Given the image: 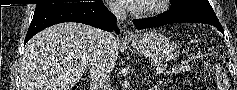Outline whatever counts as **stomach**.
<instances>
[{
	"label": "stomach",
	"instance_id": "stomach-1",
	"mask_svg": "<svg viewBox=\"0 0 237 90\" xmlns=\"http://www.w3.org/2000/svg\"><path fill=\"white\" fill-rule=\"evenodd\" d=\"M131 46L141 55L159 62L175 59L180 51L173 41L154 31L139 35Z\"/></svg>",
	"mask_w": 237,
	"mask_h": 90
}]
</instances>
